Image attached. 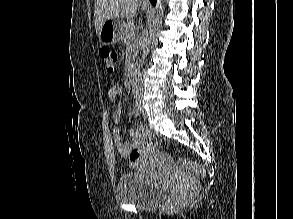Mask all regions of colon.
I'll return each instance as SVG.
<instances>
[{"mask_svg": "<svg viewBox=\"0 0 293 219\" xmlns=\"http://www.w3.org/2000/svg\"><path fill=\"white\" fill-rule=\"evenodd\" d=\"M101 57L103 59L104 67L108 73H112L117 66L118 55L108 48L101 50ZM157 146V138L155 134L149 130H146L144 141L141 145L133 148L129 153V160L132 164H136L145 155L151 152ZM180 167L196 173L200 177L205 176V171L202 166L191 162L185 158L179 159Z\"/></svg>", "mask_w": 293, "mask_h": 219, "instance_id": "5ec220e1", "label": "colon"}]
</instances>
